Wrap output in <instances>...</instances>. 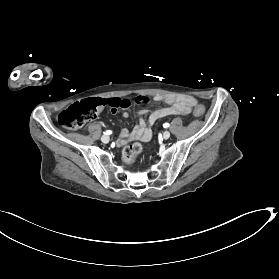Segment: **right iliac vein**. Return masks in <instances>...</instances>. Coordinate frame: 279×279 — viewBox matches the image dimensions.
I'll use <instances>...</instances> for the list:
<instances>
[{
  "mask_svg": "<svg viewBox=\"0 0 279 279\" xmlns=\"http://www.w3.org/2000/svg\"><path fill=\"white\" fill-rule=\"evenodd\" d=\"M109 140H110V137H109L108 135H103V136L101 137V141H102L103 143H108Z\"/></svg>",
  "mask_w": 279,
  "mask_h": 279,
  "instance_id": "right-iliac-vein-1",
  "label": "right iliac vein"
}]
</instances>
